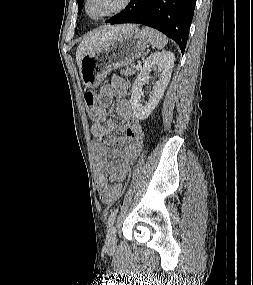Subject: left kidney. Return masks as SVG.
<instances>
[{
    "label": "left kidney",
    "instance_id": "1",
    "mask_svg": "<svg viewBox=\"0 0 253 285\" xmlns=\"http://www.w3.org/2000/svg\"><path fill=\"white\" fill-rule=\"evenodd\" d=\"M175 55L170 51H161L150 55L141 68L140 74L132 85L131 106L135 116L139 120H144L152 113L163 97L166 87L170 81L172 69L174 67ZM158 67L162 72L160 79L153 86V94L145 105L141 102L143 95L142 87L149 79L150 72Z\"/></svg>",
    "mask_w": 253,
    "mask_h": 285
}]
</instances>
